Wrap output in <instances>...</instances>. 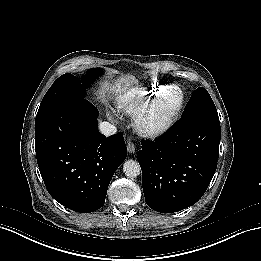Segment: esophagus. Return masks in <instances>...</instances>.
I'll list each match as a JSON object with an SVG mask.
<instances>
[{
	"instance_id": "34e87169",
	"label": "esophagus",
	"mask_w": 261,
	"mask_h": 261,
	"mask_svg": "<svg viewBox=\"0 0 261 261\" xmlns=\"http://www.w3.org/2000/svg\"><path fill=\"white\" fill-rule=\"evenodd\" d=\"M127 149H128V152L129 153H135V145H134V143L133 142H131V141H129L128 143H127Z\"/></svg>"
}]
</instances>
